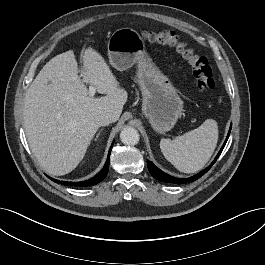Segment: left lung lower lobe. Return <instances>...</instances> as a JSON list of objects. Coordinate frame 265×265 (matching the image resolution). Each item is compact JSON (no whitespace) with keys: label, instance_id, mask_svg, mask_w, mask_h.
<instances>
[{"label":"left lung lower lobe","instance_id":"obj_1","mask_svg":"<svg viewBox=\"0 0 265 265\" xmlns=\"http://www.w3.org/2000/svg\"><path fill=\"white\" fill-rule=\"evenodd\" d=\"M230 129H231V127H230ZM229 135H230V130L228 132L227 138H226L222 148L220 149L218 155L216 156L214 161L211 163V165L209 167H207L206 169H204L203 171H201L200 173H198V174H196L190 178H176V177L170 176V175L164 173L163 171H161L159 168H157L151 161H147V166H148L149 172L151 173V175L155 179L162 181V182H172L174 184H185V183L197 180L202 175H204L211 168V166L216 162L217 158L219 157L223 148L225 147V144L228 140Z\"/></svg>","mask_w":265,"mask_h":265}]
</instances>
